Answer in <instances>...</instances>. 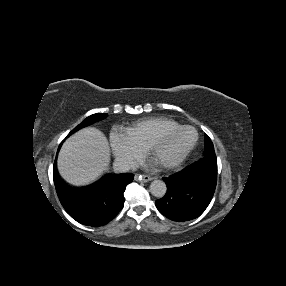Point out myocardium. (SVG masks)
<instances>
[{"label":"myocardium","mask_w":286,"mask_h":286,"mask_svg":"<svg viewBox=\"0 0 286 286\" xmlns=\"http://www.w3.org/2000/svg\"><path fill=\"white\" fill-rule=\"evenodd\" d=\"M185 129H192L195 132L196 138H195L193 145L180 157L173 159V160H169V161L159 162L160 167H162L163 169L177 168L183 165L187 160H189V158L193 155L198 145L199 134H198L197 129L190 125H182L172 131H169L168 133L160 137H157L156 139H154L148 144L146 150L149 155L154 157V153L157 150H159L161 147H163L165 144H167L170 140H172L176 135H178L181 131Z\"/></svg>","instance_id":"1"}]
</instances>
